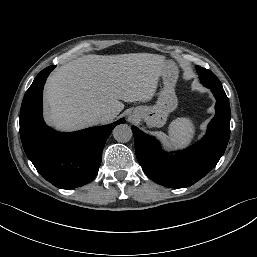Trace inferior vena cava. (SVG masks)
<instances>
[{
    "mask_svg": "<svg viewBox=\"0 0 257 257\" xmlns=\"http://www.w3.org/2000/svg\"><path fill=\"white\" fill-rule=\"evenodd\" d=\"M115 117V113L103 111L97 114V120L99 123H104L112 120Z\"/></svg>",
    "mask_w": 257,
    "mask_h": 257,
    "instance_id": "602c4592",
    "label": "inferior vena cava"
}]
</instances>
